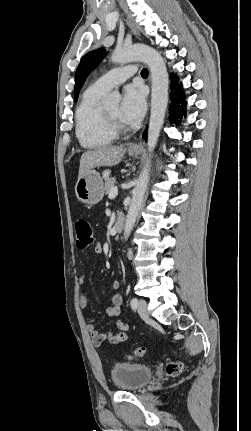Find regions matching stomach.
<instances>
[{
    "label": "stomach",
    "instance_id": "stomach-1",
    "mask_svg": "<svg viewBox=\"0 0 251 431\" xmlns=\"http://www.w3.org/2000/svg\"><path fill=\"white\" fill-rule=\"evenodd\" d=\"M140 150L129 151L130 156H136ZM103 178L96 170H90L85 176L79 178L75 185V193L78 200L84 204L94 205L100 202L104 196Z\"/></svg>",
    "mask_w": 251,
    "mask_h": 431
}]
</instances>
